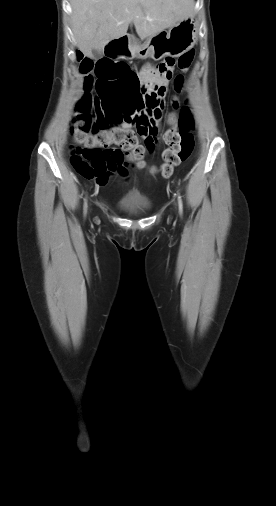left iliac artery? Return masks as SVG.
I'll return each mask as SVG.
<instances>
[{"label": "left iliac artery", "mask_w": 276, "mask_h": 506, "mask_svg": "<svg viewBox=\"0 0 276 506\" xmlns=\"http://www.w3.org/2000/svg\"><path fill=\"white\" fill-rule=\"evenodd\" d=\"M178 202H179L180 213H182V201H181V197L180 196L178 197Z\"/></svg>", "instance_id": "44dca946"}]
</instances>
